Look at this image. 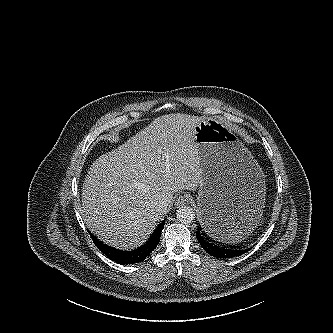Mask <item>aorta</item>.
Masks as SVG:
<instances>
[{
	"label": "aorta",
	"instance_id": "762f6f07",
	"mask_svg": "<svg viewBox=\"0 0 333 333\" xmlns=\"http://www.w3.org/2000/svg\"><path fill=\"white\" fill-rule=\"evenodd\" d=\"M176 218L182 224H190L195 219V212L190 206L180 207L176 212Z\"/></svg>",
	"mask_w": 333,
	"mask_h": 333
}]
</instances>
